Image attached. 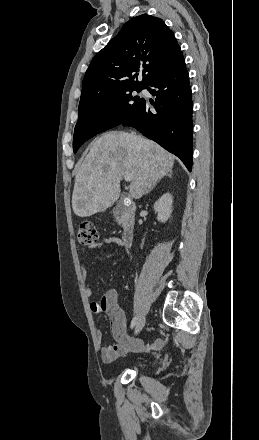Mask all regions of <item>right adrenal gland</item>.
Segmentation results:
<instances>
[{
    "instance_id": "right-adrenal-gland-1",
    "label": "right adrenal gland",
    "mask_w": 259,
    "mask_h": 440,
    "mask_svg": "<svg viewBox=\"0 0 259 440\" xmlns=\"http://www.w3.org/2000/svg\"><path fill=\"white\" fill-rule=\"evenodd\" d=\"M166 176H168V177H172V172H170V173H168ZM155 186V185H154Z\"/></svg>"
}]
</instances>
